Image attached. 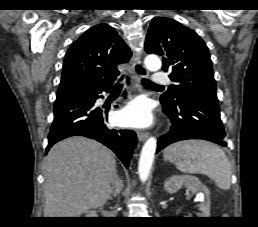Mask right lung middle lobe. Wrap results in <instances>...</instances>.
I'll use <instances>...</instances> for the list:
<instances>
[{
    "label": "right lung middle lobe",
    "mask_w": 258,
    "mask_h": 227,
    "mask_svg": "<svg viewBox=\"0 0 258 227\" xmlns=\"http://www.w3.org/2000/svg\"><path fill=\"white\" fill-rule=\"evenodd\" d=\"M65 92H66V91L57 92V96H59V95H61V94L65 93Z\"/></svg>",
    "instance_id": "1"
}]
</instances>
